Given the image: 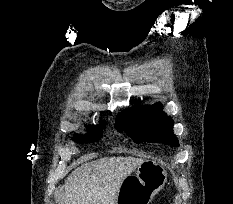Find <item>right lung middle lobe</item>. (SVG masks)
<instances>
[{"label":"right lung middle lobe","mask_w":233,"mask_h":204,"mask_svg":"<svg viewBox=\"0 0 233 204\" xmlns=\"http://www.w3.org/2000/svg\"><path fill=\"white\" fill-rule=\"evenodd\" d=\"M105 123L101 122L100 125L94 126L90 125L88 126V135L85 136H78L77 139H74V141L78 143H88V142H94L101 138L102 136V129L104 128Z\"/></svg>","instance_id":"dd1d6c3e"}]
</instances>
